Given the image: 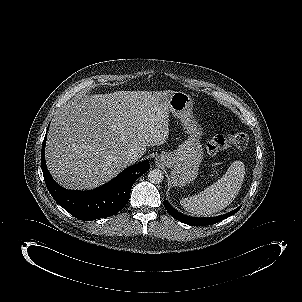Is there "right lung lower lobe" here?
Masks as SVG:
<instances>
[{
    "label": "right lung lower lobe",
    "instance_id": "right-lung-lower-lobe-1",
    "mask_svg": "<svg viewBox=\"0 0 302 302\" xmlns=\"http://www.w3.org/2000/svg\"><path fill=\"white\" fill-rule=\"evenodd\" d=\"M42 145L41 167L47 188L55 201L67 212L80 220L91 221L109 217L119 212L130 198L134 182L150 169L145 160L122 171L114 179L89 191H69L58 185L50 175L45 163V144Z\"/></svg>",
    "mask_w": 302,
    "mask_h": 302
}]
</instances>
